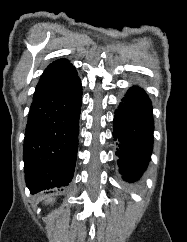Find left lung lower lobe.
Here are the masks:
<instances>
[{
	"instance_id": "left-lung-lower-lobe-1",
	"label": "left lung lower lobe",
	"mask_w": 187,
	"mask_h": 242,
	"mask_svg": "<svg viewBox=\"0 0 187 242\" xmlns=\"http://www.w3.org/2000/svg\"><path fill=\"white\" fill-rule=\"evenodd\" d=\"M153 131L151 101L142 88L133 86L115 110L113 121L117 162L124 180L136 182L146 170L153 149Z\"/></svg>"
}]
</instances>
